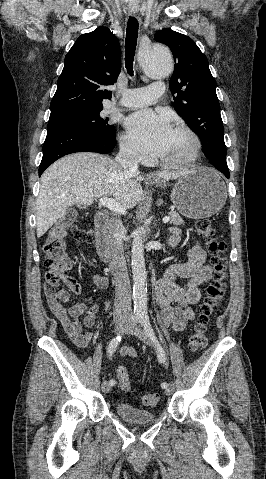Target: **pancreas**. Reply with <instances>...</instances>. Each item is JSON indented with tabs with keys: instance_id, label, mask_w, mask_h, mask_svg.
I'll list each match as a JSON object with an SVG mask.
<instances>
[{
	"instance_id": "1",
	"label": "pancreas",
	"mask_w": 266,
	"mask_h": 479,
	"mask_svg": "<svg viewBox=\"0 0 266 479\" xmlns=\"http://www.w3.org/2000/svg\"><path fill=\"white\" fill-rule=\"evenodd\" d=\"M169 217H170V223L173 224V225H183L184 224V220L174 210L169 212Z\"/></svg>"
}]
</instances>
